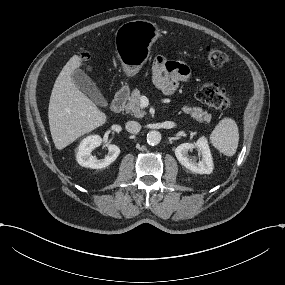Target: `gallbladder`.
<instances>
[{
  "instance_id": "bac80fb5",
  "label": "gallbladder",
  "mask_w": 285,
  "mask_h": 285,
  "mask_svg": "<svg viewBox=\"0 0 285 285\" xmlns=\"http://www.w3.org/2000/svg\"><path fill=\"white\" fill-rule=\"evenodd\" d=\"M72 78L74 79L77 88L87 94L96 105H99L101 107L108 106V102L101 94L96 84L84 71L80 69L73 71Z\"/></svg>"
}]
</instances>
